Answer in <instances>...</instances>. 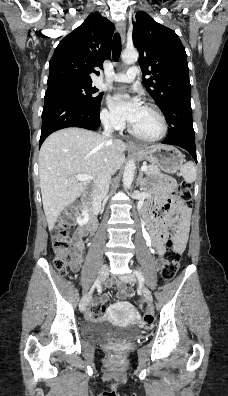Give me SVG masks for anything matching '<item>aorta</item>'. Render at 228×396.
<instances>
[{"instance_id": "obj_1", "label": "aorta", "mask_w": 228, "mask_h": 396, "mask_svg": "<svg viewBox=\"0 0 228 396\" xmlns=\"http://www.w3.org/2000/svg\"><path fill=\"white\" fill-rule=\"evenodd\" d=\"M139 54L135 49L132 50H125L122 53V61L125 64H133L138 60ZM135 168L136 165L133 160H129L124 168V173H123V185L125 189H128L131 187V184L134 179V173H135Z\"/></svg>"}]
</instances>
